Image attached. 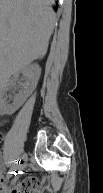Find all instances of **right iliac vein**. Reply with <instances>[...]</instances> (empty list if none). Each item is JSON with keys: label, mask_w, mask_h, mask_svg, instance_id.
I'll return each instance as SVG.
<instances>
[{"label": "right iliac vein", "mask_w": 103, "mask_h": 193, "mask_svg": "<svg viewBox=\"0 0 103 193\" xmlns=\"http://www.w3.org/2000/svg\"><path fill=\"white\" fill-rule=\"evenodd\" d=\"M27 165V155L26 154H23V156L21 157V162L18 166V169L19 170H23Z\"/></svg>", "instance_id": "1"}]
</instances>
